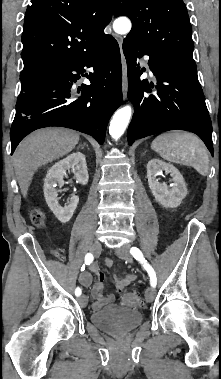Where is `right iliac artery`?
Returning <instances> with one entry per match:
<instances>
[{"instance_id": "right-iliac-artery-1", "label": "right iliac artery", "mask_w": 221, "mask_h": 379, "mask_svg": "<svg viewBox=\"0 0 221 379\" xmlns=\"http://www.w3.org/2000/svg\"><path fill=\"white\" fill-rule=\"evenodd\" d=\"M93 259H94L93 255L91 253H87L85 255V264L86 265H90L92 263ZM75 295L76 296H80L81 295V288L80 287H77L75 289Z\"/></svg>"}]
</instances>
